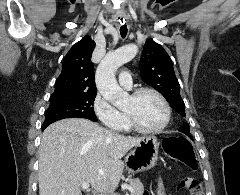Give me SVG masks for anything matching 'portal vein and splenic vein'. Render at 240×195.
<instances>
[{
	"label": "portal vein and splenic vein",
	"mask_w": 240,
	"mask_h": 195,
	"mask_svg": "<svg viewBox=\"0 0 240 195\" xmlns=\"http://www.w3.org/2000/svg\"><path fill=\"white\" fill-rule=\"evenodd\" d=\"M81 187L82 189H87L88 191V189H90V183H88V181H83V183H81Z\"/></svg>",
	"instance_id": "18ae733b"
}]
</instances>
